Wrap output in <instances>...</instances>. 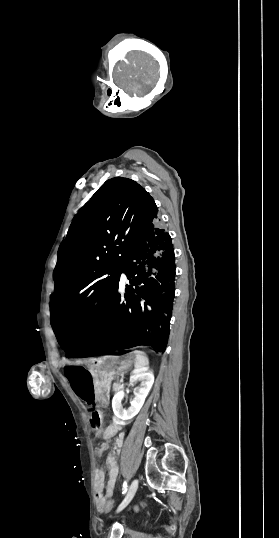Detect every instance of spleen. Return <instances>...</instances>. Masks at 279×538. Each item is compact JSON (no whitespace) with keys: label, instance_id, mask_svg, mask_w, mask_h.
<instances>
[{"label":"spleen","instance_id":"1","mask_svg":"<svg viewBox=\"0 0 279 538\" xmlns=\"http://www.w3.org/2000/svg\"><path fill=\"white\" fill-rule=\"evenodd\" d=\"M135 356V368L136 370H139V368H148L149 366V360L144 354V352H139V350H135V352H132Z\"/></svg>","mask_w":279,"mask_h":538}]
</instances>
